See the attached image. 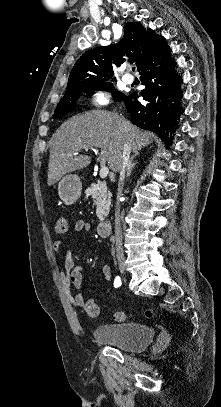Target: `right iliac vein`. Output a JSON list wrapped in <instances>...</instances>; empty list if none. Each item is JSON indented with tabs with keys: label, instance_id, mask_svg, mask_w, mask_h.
I'll use <instances>...</instances> for the list:
<instances>
[{
	"label": "right iliac vein",
	"instance_id": "63e3f726",
	"mask_svg": "<svg viewBox=\"0 0 221 407\" xmlns=\"http://www.w3.org/2000/svg\"><path fill=\"white\" fill-rule=\"evenodd\" d=\"M119 269H120L121 272H124V271H125L124 265H120V266H119Z\"/></svg>",
	"mask_w": 221,
	"mask_h": 407
}]
</instances>
